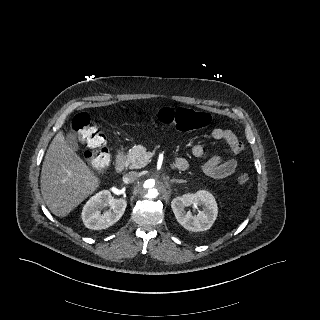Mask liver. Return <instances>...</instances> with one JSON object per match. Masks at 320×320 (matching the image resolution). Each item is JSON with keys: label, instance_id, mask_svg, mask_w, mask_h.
<instances>
[{"label": "liver", "instance_id": "6515ba94", "mask_svg": "<svg viewBox=\"0 0 320 320\" xmlns=\"http://www.w3.org/2000/svg\"><path fill=\"white\" fill-rule=\"evenodd\" d=\"M40 183L49 210L65 217L98 188L99 178L58 132L45 155Z\"/></svg>", "mask_w": 320, "mask_h": 320}]
</instances>
